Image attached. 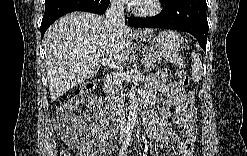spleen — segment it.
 <instances>
[{
    "label": "spleen",
    "mask_w": 247,
    "mask_h": 156,
    "mask_svg": "<svg viewBox=\"0 0 247 156\" xmlns=\"http://www.w3.org/2000/svg\"><path fill=\"white\" fill-rule=\"evenodd\" d=\"M202 76V63L199 56L192 53V79L194 82H199Z\"/></svg>",
    "instance_id": "obj_1"
}]
</instances>
